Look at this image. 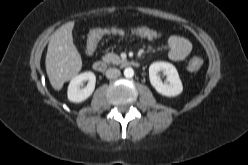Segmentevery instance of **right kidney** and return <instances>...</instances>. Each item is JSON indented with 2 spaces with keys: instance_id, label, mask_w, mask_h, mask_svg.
<instances>
[{
  "instance_id": "obj_1",
  "label": "right kidney",
  "mask_w": 248,
  "mask_h": 165,
  "mask_svg": "<svg viewBox=\"0 0 248 165\" xmlns=\"http://www.w3.org/2000/svg\"><path fill=\"white\" fill-rule=\"evenodd\" d=\"M84 81H88L86 87L81 88ZM96 77L93 72H84L76 75L70 81L68 86V100L74 103H80L91 96L95 89Z\"/></svg>"
}]
</instances>
